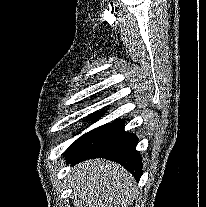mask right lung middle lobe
<instances>
[{
  "label": "right lung middle lobe",
  "instance_id": "obj_1",
  "mask_svg": "<svg viewBox=\"0 0 206 207\" xmlns=\"http://www.w3.org/2000/svg\"><path fill=\"white\" fill-rule=\"evenodd\" d=\"M103 112H97L94 114L90 119L92 121L97 120L102 116ZM110 124H105L102 126H99L98 128H95L84 135H82L80 138H78L69 148L68 150H76L82 147L85 143H87L89 140H91L93 137H95L97 134H99L102 130H104L106 127H108Z\"/></svg>",
  "mask_w": 206,
  "mask_h": 207
}]
</instances>
